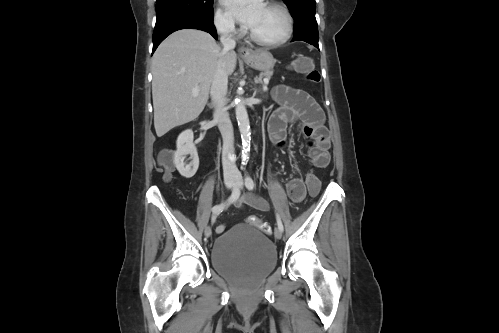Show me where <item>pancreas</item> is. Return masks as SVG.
<instances>
[{
    "mask_svg": "<svg viewBox=\"0 0 499 333\" xmlns=\"http://www.w3.org/2000/svg\"><path fill=\"white\" fill-rule=\"evenodd\" d=\"M273 75V71L272 70H269V71H265L264 73L260 74V76L257 78V81L259 83H262V79L265 78L267 80H269L271 78V76Z\"/></svg>",
    "mask_w": 499,
    "mask_h": 333,
    "instance_id": "1",
    "label": "pancreas"
}]
</instances>
